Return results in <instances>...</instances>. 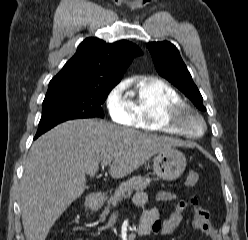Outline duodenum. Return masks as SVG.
Returning a JSON list of instances; mask_svg holds the SVG:
<instances>
[{"mask_svg":"<svg viewBox=\"0 0 248 240\" xmlns=\"http://www.w3.org/2000/svg\"><path fill=\"white\" fill-rule=\"evenodd\" d=\"M86 205L87 208L91 211L97 210L101 205V194L98 192L91 193L87 199ZM140 233L142 235H147L149 233L148 226L141 227Z\"/></svg>","mask_w":248,"mask_h":240,"instance_id":"1","label":"duodenum"}]
</instances>
